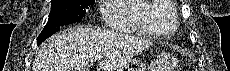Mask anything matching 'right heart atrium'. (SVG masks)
<instances>
[{"label": "right heart atrium", "instance_id": "right-heart-atrium-1", "mask_svg": "<svg viewBox=\"0 0 230 71\" xmlns=\"http://www.w3.org/2000/svg\"><path fill=\"white\" fill-rule=\"evenodd\" d=\"M122 0H103L102 2L104 3V10L101 11L102 16L104 17V21L109 24V17L107 13V7L108 5L116 2H120Z\"/></svg>", "mask_w": 230, "mask_h": 71}]
</instances>
